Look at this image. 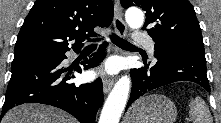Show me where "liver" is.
<instances>
[{"label":"liver","instance_id":"6515ba94","mask_svg":"<svg viewBox=\"0 0 221 123\" xmlns=\"http://www.w3.org/2000/svg\"><path fill=\"white\" fill-rule=\"evenodd\" d=\"M1 123H77L57 108L41 104H23L8 111Z\"/></svg>","mask_w":221,"mask_h":123}]
</instances>
